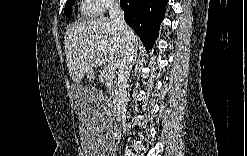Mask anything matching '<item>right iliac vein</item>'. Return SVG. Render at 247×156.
Here are the masks:
<instances>
[{"label": "right iliac vein", "instance_id": "right-iliac-vein-1", "mask_svg": "<svg viewBox=\"0 0 247 156\" xmlns=\"http://www.w3.org/2000/svg\"><path fill=\"white\" fill-rule=\"evenodd\" d=\"M126 155H130V153H129V151H128V150H126Z\"/></svg>", "mask_w": 247, "mask_h": 156}]
</instances>
